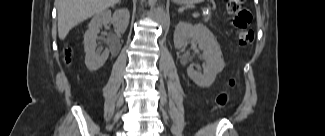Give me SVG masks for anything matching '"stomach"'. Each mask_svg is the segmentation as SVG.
I'll list each match as a JSON object with an SVG mask.
<instances>
[{
  "label": "stomach",
  "mask_w": 325,
  "mask_h": 136,
  "mask_svg": "<svg viewBox=\"0 0 325 136\" xmlns=\"http://www.w3.org/2000/svg\"><path fill=\"white\" fill-rule=\"evenodd\" d=\"M175 2L178 4L188 5V4H194L196 2H200V0H175Z\"/></svg>",
  "instance_id": "stomach-1"
}]
</instances>
